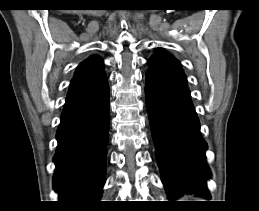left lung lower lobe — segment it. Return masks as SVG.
<instances>
[{
  "label": "left lung lower lobe",
  "mask_w": 259,
  "mask_h": 211,
  "mask_svg": "<svg viewBox=\"0 0 259 211\" xmlns=\"http://www.w3.org/2000/svg\"><path fill=\"white\" fill-rule=\"evenodd\" d=\"M145 96L156 159L168 198L173 200L184 193L210 198L207 144L201 136L188 87L146 77Z\"/></svg>",
  "instance_id": "0a47b994"
}]
</instances>
